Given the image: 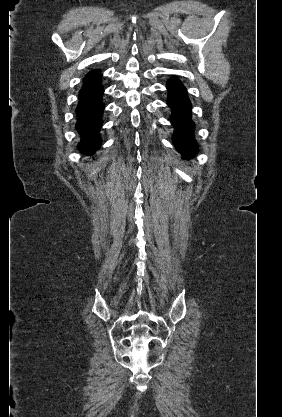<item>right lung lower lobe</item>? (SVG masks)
I'll use <instances>...</instances> for the list:
<instances>
[{"instance_id": "1", "label": "right lung lower lobe", "mask_w": 282, "mask_h": 417, "mask_svg": "<svg viewBox=\"0 0 282 417\" xmlns=\"http://www.w3.org/2000/svg\"><path fill=\"white\" fill-rule=\"evenodd\" d=\"M103 91L100 71H90L83 80L76 108V128L81 136L78 149L88 156H92L101 145L99 130L104 109Z\"/></svg>"}]
</instances>
